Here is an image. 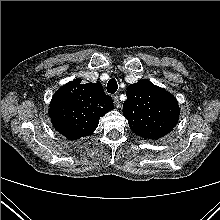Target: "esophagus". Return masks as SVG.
Instances as JSON below:
<instances>
[{"mask_svg": "<svg viewBox=\"0 0 220 220\" xmlns=\"http://www.w3.org/2000/svg\"><path fill=\"white\" fill-rule=\"evenodd\" d=\"M113 100H114L115 106H116L117 108H120V107H121V103H120V100H119L118 95L113 96Z\"/></svg>", "mask_w": 220, "mask_h": 220, "instance_id": "34e87169", "label": "esophagus"}]
</instances>
